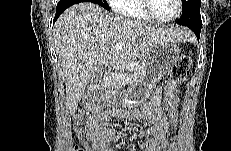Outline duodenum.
<instances>
[{"mask_svg":"<svg viewBox=\"0 0 231 151\" xmlns=\"http://www.w3.org/2000/svg\"><path fill=\"white\" fill-rule=\"evenodd\" d=\"M96 89H97V86H96V85H93V86H92V90H93V91H96Z\"/></svg>","mask_w":231,"mask_h":151,"instance_id":"1","label":"duodenum"}]
</instances>
